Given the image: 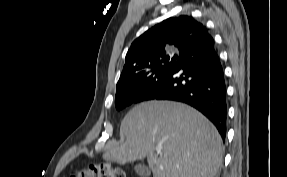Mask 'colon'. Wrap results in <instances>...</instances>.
<instances>
[{"label":"colon","mask_w":287,"mask_h":177,"mask_svg":"<svg viewBox=\"0 0 287 177\" xmlns=\"http://www.w3.org/2000/svg\"><path fill=\"white\" fill-rule=\"evenodd\" d=\"M71 177H125V174L110 163L94 162L85 168L75 170Z\"/></svg>","instance_id":"obj_1"}]
</instances>
